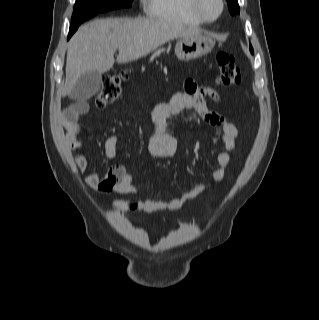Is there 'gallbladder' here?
<instances>
[{
    "instance_id": "gallbladder-1",
    "label": "gallbladder",
    "mask_w": 319,
    "mask_h": 320,
    "mask_svg": "<svg viewBox=\"0 0 319 320\" xmlns=\"http://www.w3.org/2000/svg\"><path fill=\"white\" fill-rule=\"evenodd\" d=\"M101 74L93 71L83 74L68 94L72 100L85 101L98 93L101 88Z\"/></svg>"
}]
</instances>
